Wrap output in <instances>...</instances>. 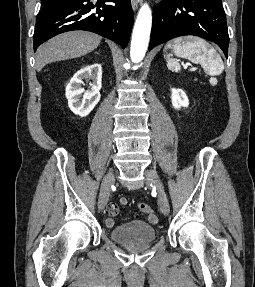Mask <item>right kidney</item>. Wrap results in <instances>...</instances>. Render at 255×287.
<instances>
[{
  "label": "right kidney",
  "mask_w": 255,
  "mask_h": 287,
  "mask_svg": "<svg viewBox=\"0 0 255 287\" xmlns=\"http://www.w3.org/2000/svg\"><path fill=\"white\" fill-rule=\"evenodd\" d=\"M101 78L102 68L101 64H92V66H84L81 70H78L71 78L69 84L66 86V98L68 100V106L74 114L77 116H88L98 104L101 96L99 90H101ZM83 80H92L90 90H83L81 84ZM83 94V96H82ZM80 98H82L80 102Z\"/></svg>",
  "instance_id": "ca27d5eb"
}]
</instances>
